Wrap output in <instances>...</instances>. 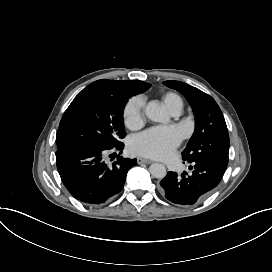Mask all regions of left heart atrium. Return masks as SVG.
<instances>
[{
  "instance_id": "1",
  "label": "left heart atrium",
  "mask_w": 272,
  "mask_h": 272,
  "mask_svg": "<svg viewBox=\"0 0 272 272\" xmlns=\"http://www.w3.org/2000/svg\"><path fill=\"white\" fill-rule=\"evenodd\" d=\"M180 142L179 131L174 127H153L131 143L130 151L134 154L149 156L156 159H166Z\"/></svg>"
}]
</instances>
